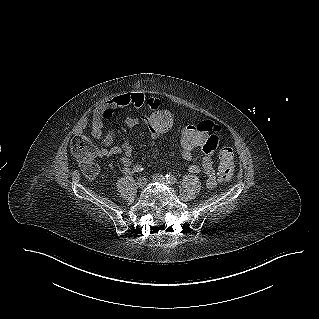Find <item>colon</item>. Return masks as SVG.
Returning <instances> with one entry per match:
<instances>
[{
    "instance_id": "5ec220e1",
    "label": "colon",
    "mask_w": 319,
    "mask_h": 319,
    "mask_svg": "<svg viewBox=\"0 0 319 319\" xmlns=\"http://www.w3.org/2000/svg\"><path fill=\"white\" fill-rule=\"evenodd\" d=\"M176 122V115L171 113H152L147 119L149 130L157 135L168 134ZM222 127L218 123H213L205 116H198L194 124L184 126L177 133V141L182 153L191 155L196 151H204L203 146L210 138L215 129ZM71 151L79 160L82 171L86 177L93 179L98 174V166L95 159L99 155L97 147L86 137H76L71 143ZM219 171L224 179L232 176L234 171V153L231 147L223 146L219 151Z\"/></svg>"
}]
</instances>
